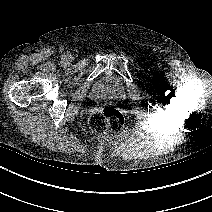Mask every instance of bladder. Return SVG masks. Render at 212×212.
I'll list each match as a JSON object with an SVG mask.
<instances>
[{"label":"bladder","instance_id":"obj_1","mask_svg":"<svg viewBox=\"0 0 212 212\" xmlns=\"http://www.w3.org/2000/svg\"><path fill=\"white\" fill-rule=\"evenodd\" d=\"M93 95L96 98L119 100L125 96V89L118 81L106 78L95 85Z\"/></svg>","mask_w":212,"mask_h":212}]
</instances>
